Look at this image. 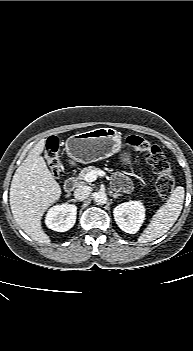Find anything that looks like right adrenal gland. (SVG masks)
I'll return each mask as SVG.
<instances>
[{"mask_svg": "<svg viewBox=\"0 0 193 351\" xmlns=\"http://www.w3.org/2000/svg\"><path fill=\"white\" fill-rule=\"evenodd\" d=\"M70 202H78L76 199H71Z\"/></svg>", "mask_w": 193, "mask_h": 351, "instance_id": "1", "label": "right adrenal gland"}]
</instances>
